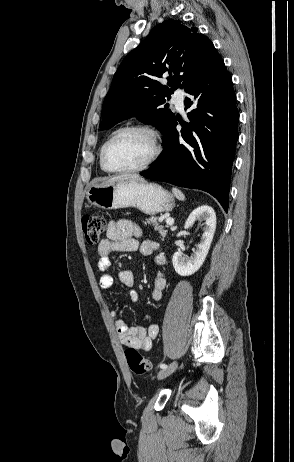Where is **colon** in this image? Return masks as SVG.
<instances>
[{"mask_svg": "<svg viewBox=\"0 0 294 462\" xmlns=\"http://www.w3.org/2000/svg\"><path fill=\"white\" fill-rule=\"evenodd\" d=\"M82 227L87 242L94 245L105 231L106 221L102 216L86 215L82 218ZM126 359L130 369L138 375L145 374L151 367L150 361L133 348L126 350Z\"/></svg>", "mask_w": 294, "mask_h": 462, "instance_id": "1", "label": "colon"}]
</instances>
